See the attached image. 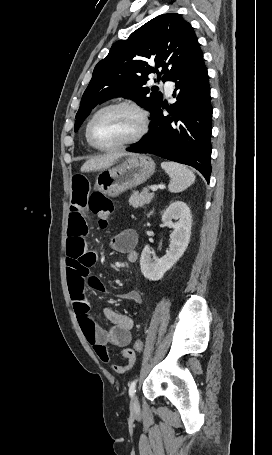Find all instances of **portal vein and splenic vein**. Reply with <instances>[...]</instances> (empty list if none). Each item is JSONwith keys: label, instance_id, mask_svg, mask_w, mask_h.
<instances>
[{"label": "portal vein and splenic vein", "instance_id": "1", "mask_svg": "<svg viewBox=\"0 0 272 455\" xmlns=\"http://www.w3.org/2000/svg\"><path fill=\"white\" fill-rule=\"evenodd\" d=\"M151 190H152V191H157V190H158V186H157V185L151 186Z\"/></svg>", "mask_w": 272, "mask_h": 455}]
</instances>
